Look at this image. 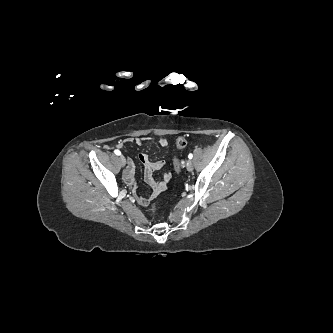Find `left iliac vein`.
<instances>
[{
    "label": "left iliac vein",
    "instance_id": "4c4485c4",
    "mask_svg": "<svg viewBox=\"0 0 333 333\" xmlns=\"http://www.w3.org/2000/svg\"><path fill=\"white\" fill-rule=\"evenodd\" d=\"M186 168L188 171H192L193 170V163L191 160H188L187 163H186Z\"/></svg>",
    "mask_w": 333,
    "mask_h": 333
}]
</instances>
